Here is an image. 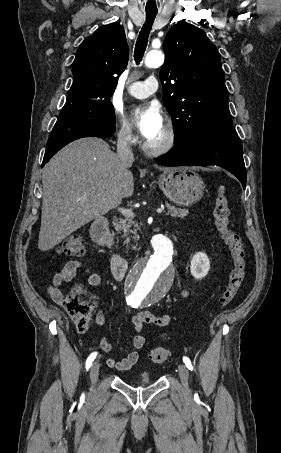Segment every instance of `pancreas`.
Masks as SVG:
<instances>
[{
    "label": "pancreas",
    "mask_w": 281,
    "mask_h": 453,
    "mask_svg": "<svg viewBox=\"0 0 281 453\" xmlns=\"http://www.w3.org/2000/svg\"><path fill=\"white\" fill-rule=\"evenodd\" d=\"M167 206L169 208L167 214H171V216H181L182 218V216H187L188 214L187 208H175V206H171V204H167ZM113 224L116 231H122V237H127V241H129V239L137 241L138 227L133 218H119V220H116ZM132 235H134V237H132Z\"/></svg>",
    "instance_id": "cf45deb5"
}]
</instances>
